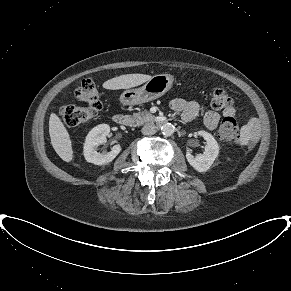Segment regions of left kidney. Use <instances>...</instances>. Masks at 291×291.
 I'll return each instance as SVG.
<instances>
[{"mask_svg": "<svg viewBox=\"0 0 291 291\" xmlns=\"http://www.w3.org/2000/svg\"><path fill=\"white\" fill-rule=\"evenodd\" d=\"M198 134L202 136L207 145L202 154L193 155L189 151L186 153L188 163L198 172L207 171L217 158L219 153V146L215 138L206 131H199Z\"/></svg>", "mask_w": 291, "mask_h": 291, "instance_id": "5707ae66", "label": "left kidney"}]
</instances>
